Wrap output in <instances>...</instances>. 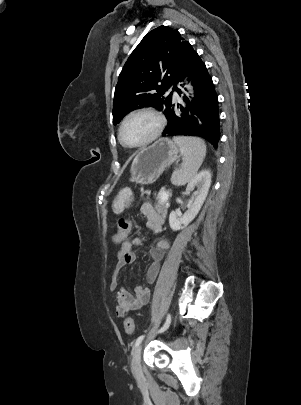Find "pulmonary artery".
I'll return each instance as SVG.
<instances>
[{
  "label": "pulmonary artery",
  "instance_id": "e3ab8cb5",
  "mask_svg": "<svg viewBox=\"0 0 301 405\" xmlns=\"http://www.w3.org/2000/svg\"><path fill=\"white\" fill-rule=\"evenodd\" d=\"M174 96L177 97V93H176V92H174Z\"/></svg>",
  "mask_w": 301,
  "mask_h": 405
}]
</instances>
